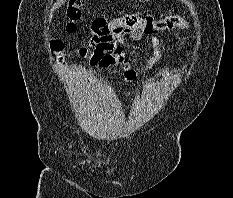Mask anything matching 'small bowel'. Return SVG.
<instances>
[{"label":"small bowel","mask_w":233,"mask_h":198,"mask_svg":"<svg viewBox=\"0 0 233 198\" xmlns=\"http://www.w3.org/2000/svg\"><path fill=\"white\" fill-rule=\"evenodd\" d=\"M143 36L144 34L139 29L115 30L111 36L91 45L93 46V51L89 54V61L92 65L100 68L119 69L126 84H130L142 73L155 66L163 55V48L158 38L153 34L148 35L153 46V55L141 71L134 69L132 62L125 55L122 47L141 39ZM80 53L86 56L88 51L83 48L80 50Z\"/></svg>","instance_id":"1"}]
</instances>
